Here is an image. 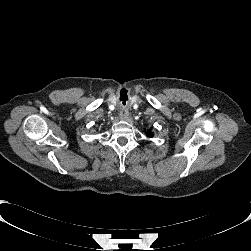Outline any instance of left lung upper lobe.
Returning <instances> with one entry per match:
<instances>
[{"label":"left lung upper lobe","instance_id":"obj_1","mask_svg":"<svg viewBox=\"0 0 251 251\" xmlns=\"http://www.w3.org/2000/svg\"><path fill=\"white\" fill-rule=\"evenodd\" d=\"M148 136H152L153 134L150 131H147Z\"/></svg>","mask_w":251,"mask_h":251}]
</instances>
